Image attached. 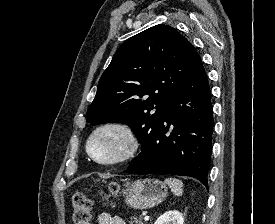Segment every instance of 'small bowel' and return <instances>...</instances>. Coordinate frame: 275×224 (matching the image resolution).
Segmentation results:
<instances>
[{
    "label": "small bowel",
    "instance_id": "c3829d8e",
    "mask_svg": "<svg viewBox=\"0 0 275 224\" xmlns=\"http://www.w3.org/2000/svg\"><path fill=\"white\" fill-rule=\"evenodd\" d=\"M98 224H126L125 221L118 216H112L109 213H100L98 215Z\"/></svg>",
    "mask_w": 275,
    "mask_h": 224
}]
</instances>
